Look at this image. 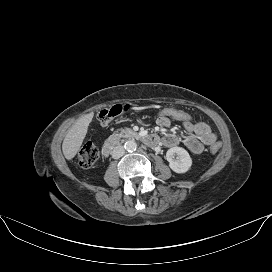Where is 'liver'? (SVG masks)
Instances as JSON below:
<instances>
[{
	"instance_id": "liver-1",
	"label": "liver",
	"mask_w": 272,
	"mask_h": 272,
	"mask_svg": "<svg viewBox=\"0 0 272 272\" xmlns=\"http://www.w3.org/2000/svg\"><path fill=\"white\" fill-rule=\"evenodd\" d=\"M92 118L91 113L84 115L69 129L62 144V151L67 160L73 159L79 151Z\"/></svg>"
}]
</instances>
